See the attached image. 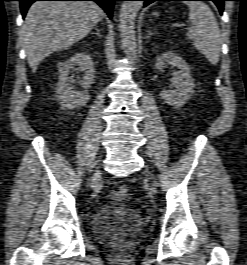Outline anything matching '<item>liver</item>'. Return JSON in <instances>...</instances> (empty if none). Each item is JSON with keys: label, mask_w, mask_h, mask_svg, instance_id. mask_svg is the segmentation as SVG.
Returning <instances> with one entry per match:
<instances>
[{"label": "liver", "mask_w": 247, "mask_h": 265, "mask_svg": "<svg viewBox=\"0 0 247 265\" xmlns=\"http://www.w3.org/2000/svg\"><path fill=\"white\" fill-rule=\"evenodd\" d=\"M103 10L93 2L38 1L32 4L22 27V38L32 72L49 55L83 39L102 20Z\"/></svg>", "instance_id": "obj_1"}]
</instances>
